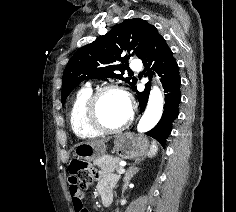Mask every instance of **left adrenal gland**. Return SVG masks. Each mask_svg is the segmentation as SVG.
<instances>
[{
    "mask_svg": "<svg viewBox=\"0 0 236 212\" xmlns=\"http://www.w3.org/2000/svg\"><path fill=\"white\" fill-rule=\"evenodd\" d=\"M139 171L138 168H133L131 170H129L128 172L125 173L124 176V185H123V190L127 189V186L129 184V181L131 180V178Z\"/></svg>",
    "mask_w": 236,
    "mask_h": 212,
    "instance_id": "left-adrenal-gland-1",
    "label": "left adrenal gland"
}]
</instances>
